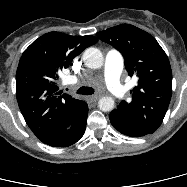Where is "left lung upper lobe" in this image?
I'll return each instance as SVG.
<instances>
[{"label":"left lung upper lobe","instance_id":"1","mask_svg":"<svg viewBox=\"0 0 187 187\" xmlns=\"http://www.w3.org/2000/svg\"><path fill=\"white\" fill-rule=\"evenodd\" d=\"M96 35L119 50L129 76L138 77L137 86L130 91L132 101L120 102L114 111L154 133L164 119L172 95V71L166 53L152 35L130 24Z\"/></svg>","mask_w":187,"mask_h":187}]
</instances>
